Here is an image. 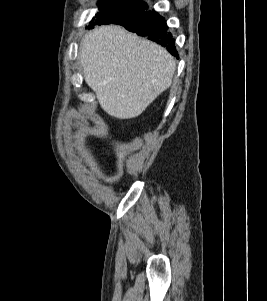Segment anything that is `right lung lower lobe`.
Returning a JSON list of instances; mask_svg holds the SVG:
<instances>
[{
    "instance_id": "1",
    "label": "right lung lower lobe",
    "mask_w": 267,
    "mask_h": 301,
    "mask_svg": "<svg viewBox=\"0 0 267 301\" xmlns=\"http://www.w3.org/2000/svg\"><path fill=\"white\" fill-rule=\"evenodd\" d=\"M117 25L124 26L127 30L135 32L140 36H147L148 39L155 41L166 47L169 52L178 57L174 38L168 31V26L164 17L157 12L144 10L133 15L125 16L115 22Z\"/></svg>"
}]
</instances>
